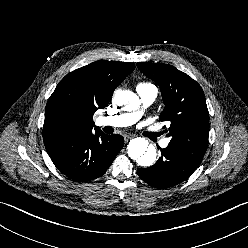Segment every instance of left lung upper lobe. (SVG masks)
<instances>
[{
    "instance_id": "left-lung-upper-lobe-1",
    "label": "left lung upper lobe",
    "mask_w": 248,
    "mask_h": 248,
    "mask_svg": "<svg viewBox=\"0 0 248 248\" xmlns=\"http://www.w3.org/2000/svg\"><path fill=\"white\" fill-rule=\"evenodd\" d=\"M140 71L160 87L165 108L161 121H170L168 147L189 161L200 164L206 152L209 135L208 109L199 84L175 67L158 63H137Z\"/></svg>"
}]
</instances>
